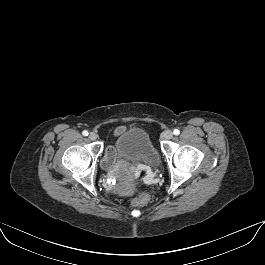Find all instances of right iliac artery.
Masks as SVG:
<instances>
[{
  "label": "right iliac artery",
  "mask_w": 265,
  "mask_h": 265,
  "mask_svg": "<svg viewBox=\"0 0 265 265\" xmlns=\"http://www.w3.org/2000/svg\"><path fill=\"white\" fill-rule=\"evenodd\" d=\"M82 134H83L84 136H88V131H87V130H84V131L82 132Z\"/></svg>",
  "instance_id": "82829eb1"
}]
</instances>
